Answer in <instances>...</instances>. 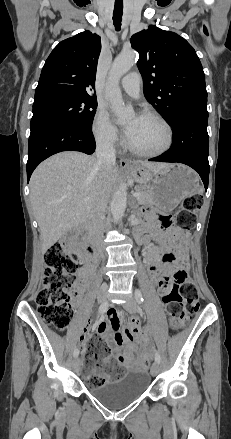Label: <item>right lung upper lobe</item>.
<instances>
[{"label":"right lung upper lobe","mask_w":231,"mask_h":439,"mask_svg":"<svg viewBox=\"0 0 231 439\" xmlns=\"http://www.w3.org/2000/svg\"><path fill=\"white\" fill-rule=\"evenodd\" d=\"M101 40L90 31L61 41L43 66L35 99L51 94H74L96 98L95 86Z\"/></svg>","instance_id":"1"}]
</instances>
